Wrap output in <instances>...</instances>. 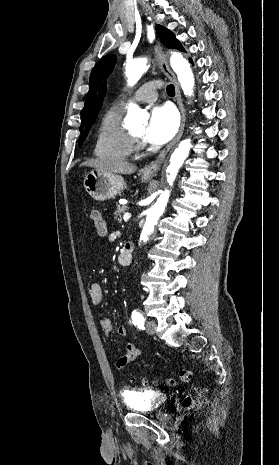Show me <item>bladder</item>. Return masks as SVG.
Masks as SVG:
<instances>
[{"instance_id":"bladder-1","label":"bladder","mask_w":279,"mask_h":465,"mask_svg":"<svg viewBox=\"0 0 279 465\" xmlns=\"http://www.w3.org/2000/svg\"><path fill=\"white\" fill-rule=\"evenodd\" d=\"M168 401L165 394L141 390L127 389L124 392V402L126 407L136 413H151L162 409Z\"/></svg>"}]
</instances>
